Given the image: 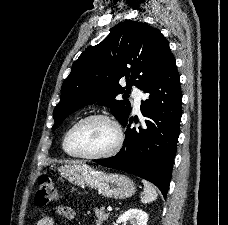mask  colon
Here are the masks:
<instances>
[{"mask_svg":"<svg viewBox=\"0 0 228 225\" xmlns=\"http://www.w3.org/2000/svg\"><path fill=\"white\" fill-rule=\"evenodd\" d=\"M57 194L55 182L46 175L39 178V188L35 194V203L38 206H45L49 200L53 199Z\"/></svg>","mask_w":228,"mask_h":225,"instance_id":"5ec220e1","label":"colon"}]
</instances>
